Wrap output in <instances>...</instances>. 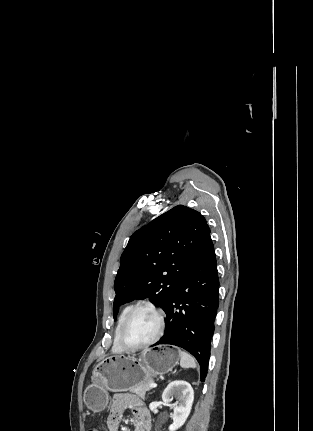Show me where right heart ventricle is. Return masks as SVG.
I'll return each mask as SVG.
<instances>
[{
    "label": "right heart ventricle",
    "instance_id": "1",
    "mask_svg": "<svg viewBox=\"0 0 313 431\" xmlns=\"http://www.w3.org/2000/svg\"><path fill=\"white\" fill-rule=\"evenodd\" d=\"M133 308V306L131 304L126 305L117 320V324L115 327V332H114V340H113V345H112V351L115 353H121L124 351V349L120 346L119 342H118V334H119V330L120 327L124 321V319L126 318L127 314L130 312V310Z\"/></svg>",
    "mask_w": 313,
    "mask_h": 431
}]
</instances>
